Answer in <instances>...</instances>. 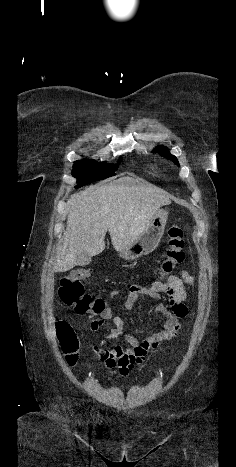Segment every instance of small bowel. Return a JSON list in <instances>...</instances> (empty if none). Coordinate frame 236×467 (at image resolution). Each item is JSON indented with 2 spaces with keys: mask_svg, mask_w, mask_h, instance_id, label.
Here are the masks:
<instances>
[{
  "mask_svg": "<svg viewBox=\"0 0 236 467\" xmlns=\"http://www.w3.org/2000/svg\"><path fill=\"white\" fill-rule=\"evenodd\" d=\"M185 285H194V278L186 271L181 270L178 275H171L165 283L155 281L150 287L142 284L132 285L128 290H113L108 298L113 299L124 293L126 299L123 308L130 311L142 297L161 298L162 294L168 297V304H157L155 313L164 317V324L157 332L140 340L125 331V324L122 318L114 315L111 308H107L99 315L88 314L85 319L91 321L90 329L98 331L104 321H111L113 329L108 335V339H121L129 347L116 346L107 349L105 344L95 345L93 350L109 373H115L122 377L127 376L134 368L140 367L146 359L149 351L157 348L160 344L172 340L184 325V320L188 316V308L184 301L187 297Z\"/></svg>",
  "mask_w": 236,
  "mask_h": 467,
  "instance_id": "small-bowel-1",
  "label": "small bowel"
}]
</instances>
